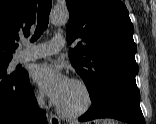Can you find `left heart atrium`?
<instances>
[{
    "label": "left heart atrium",
    "instance_id": "obj_1",
    "mask_svg": "<svg viewBox=\"0 0 156 124\" xmlns=\"http://www.w3.org/2000/svg\"><path fill=\"white\" fill-rule=\"evenodd\" d=\"M33 80L40 85L55 104H59L71 84L69 77L56 66L40 64L35 67Z\"/></svg>",
    "mask_w": 156,
    "mask_h": 124
}]
</instances>
